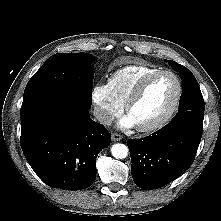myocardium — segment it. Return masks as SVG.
Returning a JSON list of instances; mask_svg holds the SVG:
<instances>
[{"label": "myocardium", "mask_w": 221, "mask_h": 221, "mask_svg": "<svg viewBox=\"0 0 221 221\" xmlns=\"http://www.w3.org/2000/svg\"><path fill=\"white\" fill-rule=\"evenodd\" d=\"M160 75H170L174 78L176 82V94H175L174 100L171 103L168 110L159 119L147 125L136 126L137 130L140 132H152V131L160 129L161 127H163L170 121V119L173 117V115L175 114L179 106V103L182 97V92H183V86H182V82L180 78L173 71L160 69V70H157L155 72H152L146 75L138 82V84L136 85V87L134 88V90L132 91V93L130 94V96L128 97V99L126 100L124 104V109L126 113L127 114L129 113L131 107L141 97L148 83Z\"/></svg>", "instance_id": "1"}]
</instances>
